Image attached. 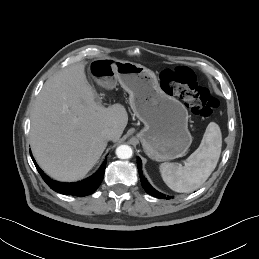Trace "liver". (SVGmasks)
<instances>
[{
    "label": "liver",
    "instance_id": "1",
    "mask_svg": "<svg viewBox=\"0 0 259 259\" xmlns=\"http://www.w3.org/2000/svg\"><path fill=\"white\" fill-rule=\"evenodd\" d=\"M84 70L79 63L50 77L31 113L33 155L45 173L63 182L82 179L98 162L108 141L103 130H114L117 141L128 123L124 106L95 101Z\"/></svg>",
    "mask_w": 259,
    "mask_h": 259
}]
</instances>
